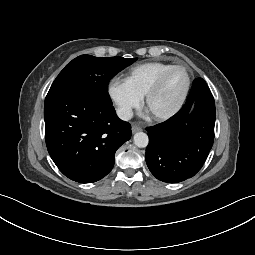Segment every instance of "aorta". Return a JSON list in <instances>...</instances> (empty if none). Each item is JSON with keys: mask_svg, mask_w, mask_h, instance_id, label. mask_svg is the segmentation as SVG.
Wrapping results in <instances>:
<instances>
[{"mask_svg": "<svg viewBox=\"0 0 255 255\" xmlns=\"http://www.w3.org/2000/svg\"><path fill=\"white\" fill-rule=\"evenodd\" d=\"M134 143L139 148L147 147L149 143L148 135L143 132H138L134 135Z\"/></svg>", "mask_w": 255, "mask_h": 255, "instance_id": "obj_1", "label": "aorta"}]
</instances>
